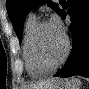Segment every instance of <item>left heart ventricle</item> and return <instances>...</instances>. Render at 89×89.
Segmentation results:
<instances>
[{"instance_id":"b2bd125f","label":"left heart ventricle","mask_w":89,"mask_h":89,"mask_svg":"<svg viewBox=\"0 0 89 89\" xmlns=\"http://www.w3.org/2000/svg\"><path fill=\"white\" fill-rule=\"evenodd\" d=\"M40 54L47 64L55 63L63 53L64 37L50 23L44 25L39 38Z\"/></svg>"}]
</instances>
